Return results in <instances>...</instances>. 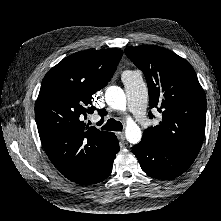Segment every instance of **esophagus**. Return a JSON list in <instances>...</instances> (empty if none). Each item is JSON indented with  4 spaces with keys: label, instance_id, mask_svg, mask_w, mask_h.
Returning <instances> with one entry per match:
<instances>
[{
    "label": "esophagus",
    "instance_id": "1",
    "mask_svg": "<svg viewBox=\"0 0 221 221\" xmlns=\"http://www.w3.org/2000/svg\"><path fill=\"white\" fill-rule=\"evenodd\" d=\"M116 135H117L118 139H120L121 141L125 140L124 132H117Z\"/></svg>",
    "mask_w": 221,
    "mask_h": 221
}]
</instances>
